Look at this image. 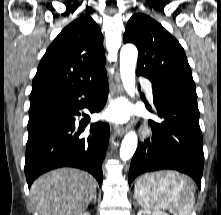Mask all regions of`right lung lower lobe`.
Instances as JSON below:
<instances>
[{
  "label": "right lung lower lobe",
  "mask_w": 221,
  "mask_h": 215,
  "mask_svg": "<svg viewBox=\"0 0 221 215\" xmlns=\"http://www.w3.org/2000/svg\"><path fill=\"white\" fill-rule=\"evenodd\" d=\"M106 75L82 91L29 112L25 175L28 186L41 174L59 167L90 172L102 183V162L109 140V126L101 122L86 129L90 117L77 123L74 116L86 107L91 113L104 107L108 95ZM84 95L85 99L81 98ZM86 102V104H85Z\"/></svg>",
  "instance_id": "1"
}]
</instances>
